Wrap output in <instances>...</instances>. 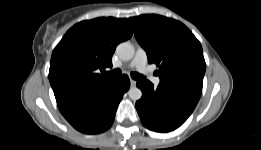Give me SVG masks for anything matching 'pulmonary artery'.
Returning <instances> with one entry per match:
<instances>
[{"label": "pulmonary artery", "mask_w": 261, "mask_h": 150, "mask_svg": "<svg viewBox=\"0 0 261 150\" xmlns=\"http://www.w3.org/2000/svg\"><path fill=\"white\" fill-rule=\"evenodd\" d=\"M147 60L148 57L146 51L143 48H138L133 60L131 61L128 67L136 68L139 72L150 78L154 84L158 85L160 83V78L157 76H153L150 73V70L147 65Z\"/></svg>", "instance_id": "obj_1"}]
</instances>
